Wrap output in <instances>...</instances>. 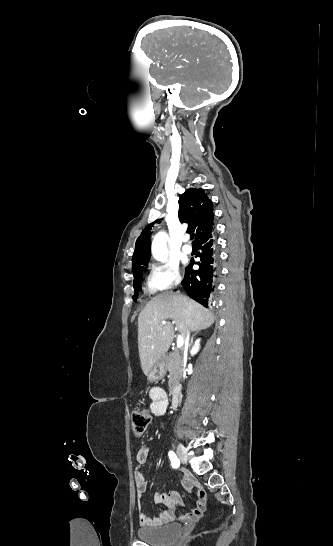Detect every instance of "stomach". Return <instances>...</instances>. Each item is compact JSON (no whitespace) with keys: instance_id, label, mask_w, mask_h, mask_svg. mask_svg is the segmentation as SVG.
Masks as SVG:
<instances>
[{"instance_id":"obj_1","label":"stomach","mask_w":333,"mask_h":546,"mask_svg":"<svg viewBox=\"0 0 333 546\" xmlns=\"http://www.w3.org/2000/svg\"><path fill=\"white\" fill-rule=\"evenodd\" d=\"M165 359L162 357L150 370L148 380L151 382L158 381L166 375Z\"/></svg>"}]
</instances>
